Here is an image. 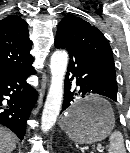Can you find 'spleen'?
I'll use <instances>...</instances> for the list:
<instances>
[{"mask_svg":"<svg viewBox=\"0 0 130 153\" xmlns=\"http://www.w3.org/2000/svg\"><path fill=\"white\" fill-rule=\"evenodd\" d=\"M109 153H126L124 139L119 131H114L110 137Z\"/></svg>","mask_w":130,"mask_h":153,"instance_id":"3e777b00","label":"spleen"}]
</instances>
